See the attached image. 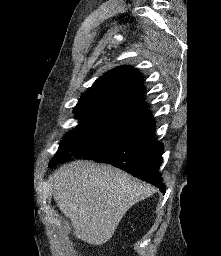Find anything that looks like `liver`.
Instances as JSON below:
<instances>
[{
    "label": "liver",
    "mask_w": 221,
    "mask_h": 256,
    "mask_svg": "<svg viewBox=\"0 0 221 256\" xmlns=\"http://www.w3.org/2000/svg\"><path fill=\"white\" fill-rule=\"evenodd\" d=\"M50 181L76 238L91 245L106 243L128 209L155 192L120 169L83 160L63 165Z\"/></svg>",
    "instance_id": "obj_1"
}]
</instances>
